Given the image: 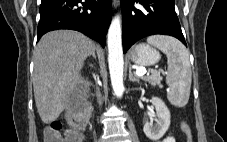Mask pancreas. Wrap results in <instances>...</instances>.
Segmentation results:
<instances>
[{"instance_id":"cf45deb5","label":"pancreas","mask_w":227,"mask_h":142,"mask_svg":"<svg viewBox=\"0 0 227 142\" xmlns=\"http://www.w3.org/2000/svg\"><path fill=\"white\" fill-rule=\"evenodd\" d=\"M142 80L148 82L152 86H161L162 77L159 74H152L150 76L142 77Z\"/></svg>"}]
</instances>
